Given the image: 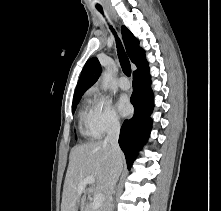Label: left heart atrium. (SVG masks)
I'll list each match as a JSON object with an SVG mask.
<instances>
[{
    "mask_svg": "<svg viewBox=\"0 0 221 211\" xmlns=\"http://www.w3.org/2000/svg\"><path fill=\"white\" fill-rule=\"evenodd\" d=\"M117 110L122 116H127L130 114L132 107L126 96L122 95L118 98Z\"/></svg>",
    "mask_w": 221,
    "mask_h": 211,
    "instance_id": "obj_1",
    "label": "left heart atrium"
}]
</instances>
